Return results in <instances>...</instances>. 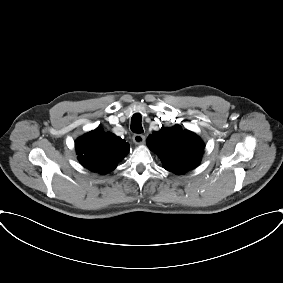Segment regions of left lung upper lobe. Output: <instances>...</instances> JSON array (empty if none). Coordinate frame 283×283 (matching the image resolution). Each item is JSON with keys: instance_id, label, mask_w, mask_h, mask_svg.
Segmentation results:
<instances>
[{"instance_id": "left-lung-upper-lobe-1", "label": "left lung upper lobe", "mask_w": 283, "mask_h": 283, "mask_svg": "<svg viewBox=\"0 0 283 283\" xmlns=\"http://www.w3.org/2000/svg\"><path fill=\"white\" fill-rule=\"evenodd\" d=\"M147 146L155 151L164 168L176 174H183L196 167L203 153L204 144L191 131L182 127H162L147 138Z\"/></svg>"}]
</instances>
